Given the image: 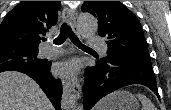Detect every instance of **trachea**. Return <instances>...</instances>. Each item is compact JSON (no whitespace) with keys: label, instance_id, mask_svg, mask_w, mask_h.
I'll use <instances>...</instances> for the list:
<instances>
[{"label":"trachea","instance_id":"1","mask_svg":"<svg viewBox=\"0 0 171 110\" xmlns=\"http://www.w3.org/2000/svg\"><path fill=\"white\" fill-rule=\"evenodd\" d=\"M67 37L70 38V40L79 48L84 49H91L84 44L80 42V40L77 38V36L73 33L71 27L67 23H63L60 28V34L57 38L54 40V44L61 45L65 42ZM43 41H46L45 38L42 39Z\"/></svg>","mask_w":171,"mask_h":110}]
</instances>
